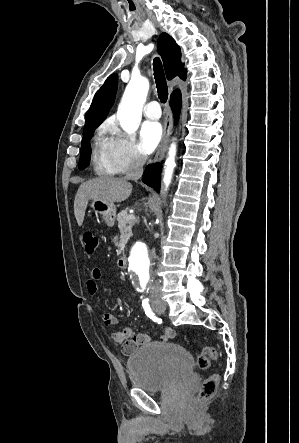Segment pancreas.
<instances>
[{"label":"pancreas","instance_id":"1","mask_svg":"<svg viewBox=\"0 0 299 443\" xmlns=\"http://www.w3.org/2000/svg\"><path fill=\"white\" fill-rule=\"evenodd\" d=\"M129 214L127 210H122L117 215L118 227L121 232V240L119 243V253L124 252L125 244L132 235L131 228L135 224L136 219L128 220Z\"/></svg>","mask_w":299,"mask_h":443}]
</instances>
